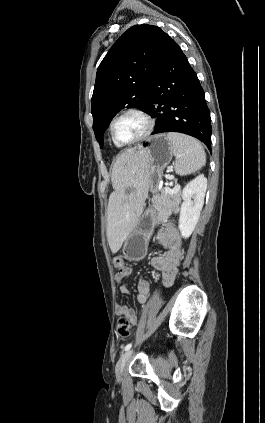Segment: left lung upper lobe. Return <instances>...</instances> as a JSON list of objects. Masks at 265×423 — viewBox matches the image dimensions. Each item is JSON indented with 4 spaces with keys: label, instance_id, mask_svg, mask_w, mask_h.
<instances>
[{
    "label": "left lung upper lobe",
    "instance_id": "obj_1",
    "mask_svg": "<svg viewBox=\"0 0 265 423\" xmlns=\"http://www.w3.org/2000/svg\"><path fill=\"white\" fill-rule=\"evenodd\" d=\"M167 34L148 24L129 28L111 47L98 67L91 99L95 137L103 135L124 107L148 108V89Z\"/></svg>",
    "mask_w": 265,
    "mask_h": 423
}]
</instances>
